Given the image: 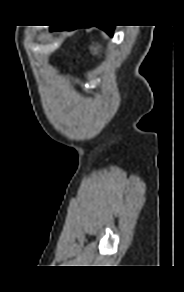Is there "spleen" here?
<instances>
[{"instance_id": "3e777b00", "label": "spleen", "mask_w": 184, "mask_h": 292, "mask_svg": "<svg viewBox=\"0 0 184 292\" xmlns=\"http://www.w3.org/2000/svg\"><path fill=\"white\" fill-rule=\"evenodd\" d=\"M91 49H93V48L91 47ZM94 50H95V52H94V53L96 54V53H97V51H96V49H94Z\"/></svg>"}]
</instances>
